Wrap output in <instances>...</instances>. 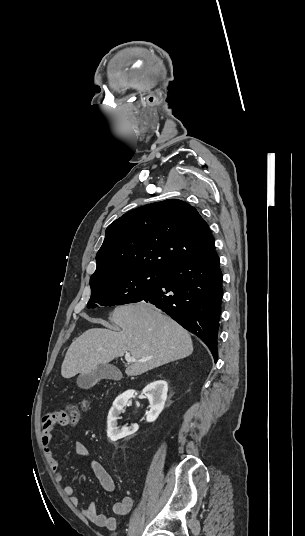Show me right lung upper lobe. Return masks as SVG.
Instances as JSON below:
<instances>
[{"mask_svg":"<svg viewBox=\"0 0 305 536\" xmlns=\"http://www.w3.org/2000/svg\"><path fill=\"white\" fill-rule=\"evenodd\" d=\"M208 224L191 205L177 199L127 212L106 229L90 281L134 271H162L198 258L214 246Z\"/></svg>","mask_w":305,"mask_h":536,"instance_id":"right-lung-upper-lobe-1","label":"right lung upper lobe"}]
</instances>
